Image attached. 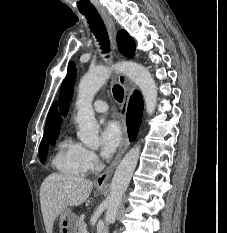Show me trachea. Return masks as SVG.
<instances>
[{
	"label": "trachea",
	"mask_w": 227,
	"mask_h": 233,
	"mask_svg": "<svg viewBox=\"0 0 227 233\" xmlns=\"http://www.w3.org/2000/svg\"><path fill=\"white\" fill-rule=\"evenodd\" d=\"M81 13L85 15V17L87 18L91 32L94 34L97 41L101 45V49L103 50L102 53L108 52L109 37H108L106 27L103 23V20L101 19L98 12L87 11V12H81ZM112 92H113L114 98L118 102L123 101L124 90L121 86H119L118 84L114 85Z\"/></svg>",
	"instance_id": "obj_1"
}]
</instances>
